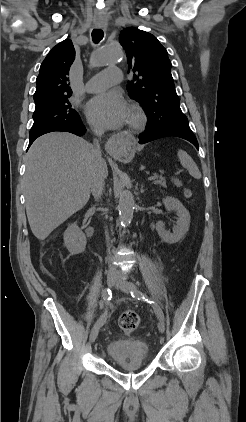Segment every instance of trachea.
<instances>
[{
  "mask_svg": "<svg viewBox=\"0 0 246 422\" xmlns=\"http://www.w3.org/2000/svg\"><path fill=\"white\" fill-rule=\"evenodd\" d=\"M104 37V32L100 29H94L92 31V40L94 43H99Z\"/></svg>",
  "mask_w": 246,
  "mask_h": 422,
  "instance_id": "obj_1",
  "label": "trachea"
}]
</instances>
